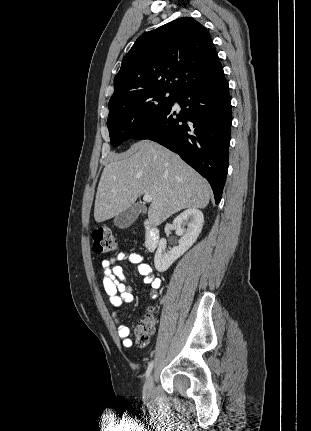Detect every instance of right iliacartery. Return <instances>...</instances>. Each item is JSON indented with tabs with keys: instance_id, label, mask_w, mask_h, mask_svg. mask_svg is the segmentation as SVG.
I'll return each mask as SVG.
<instances>
[{
	"instance_id": "82829eb1",
	"label": "right iliac artery",
	"mask_w": 311,
	"mask_h": 431,
	"mask_svg": "<svg viewBox=\"0 0 311 431\" xmlns=\"http://www.w3.org/2000/svg\"><path fill=\"white\" fill-rule=\"evenodd\" d=\"M153 368V361L149 363L148 367H147V371H146V377H148L152 371Z\"/></svg>"
}]
</instances>
